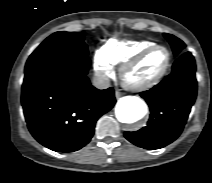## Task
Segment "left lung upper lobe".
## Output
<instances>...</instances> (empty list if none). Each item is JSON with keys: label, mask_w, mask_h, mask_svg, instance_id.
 Instances as JSON below:
<instances>
[{"label": "left lung upper lobe", "mask_w": 212, "mask_h": 183, "mask_svg": "<svg viewBox=\"0 0 212 183\" xmlns=\"http://www.w3.org/2000/svg\"><path fill=\"white\" fill-rule=\"evenodd\" d=\"M164 36L171 44L174 55L180 56L183 53V49L186 45L180 39L171 34L164 33Z\"/></svg>", "instance_id": "1"}]
</instances>
